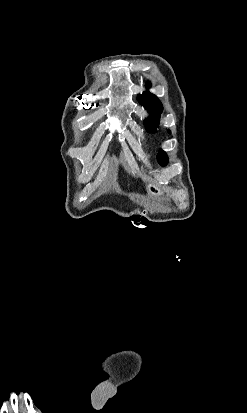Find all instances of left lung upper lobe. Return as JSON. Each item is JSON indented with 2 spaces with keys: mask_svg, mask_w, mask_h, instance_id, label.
Here are the masks:
<instances>
[{
  "mask_svg": "<svg viewBox=\"0 0 247 413\" xmlns=\"http://www.w3.org/2000/svg\"><path fill=\"white\" fill-rule=\"evenodd\" d=\"M137 99L139 103L143 105L150 113V118L146 119L145 121L147 131L151 133L156 132V129L159 124L160 114L163 110L161 102L155 95H153L149 91H145L142 95H138ZM168 132L170 133L169 130ZM157 160L162 166H165L168 163L167 154L161 150L160 154L157 157Z\"/></svg>",
  "mask_w": 247,
  "mask_h": 413,
  "instance_id": "obj_1",
  "label": "left lung upper lobe"
}]
</instances>
